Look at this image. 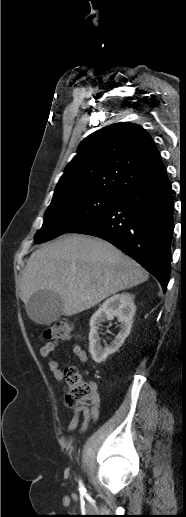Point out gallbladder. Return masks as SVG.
Returning <instances> with one entry per match:
<instances>
[{"label":"gallbladder","mask_w":186,"mask_h":517,"mask_svg":"<svg viewBox=\"0 0 186 517\" xmlns=\"http://www.w3.org/2000/svg\"><path fill=\"white\" fill-rule=\"evenodd\" d=\"M62 309V299L52 291H38L26 304L28 316L37 323L47 325L60 318Z\"/></svg>","instance_id":"gallbladder-1"}]
</instances>
